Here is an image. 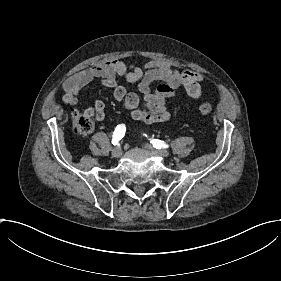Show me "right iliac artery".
I'll list each match as a JSON object with an SVG mask.
<instances>
[{
	"mask_svg": "<svg viewBox=\"0 0 281 281\" xmlns=\"http://www.w3.org/2000/svg\"><path fill=\"white\" fill-rule=\"evenodd\" d=\"M125 131H126V127L124 124L117 125L113 133V139H112L113 145H116L119 142V140H121L124 137Z\"/></svg>",
	"mask_w": 281,
	"mask_h": 281,
	"instance_id": "82829eb1",
	"label": "right iliac artery"
}]
</instances>
